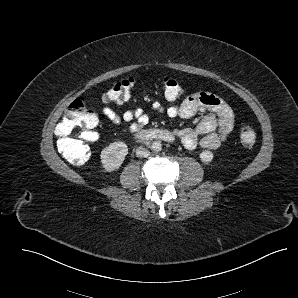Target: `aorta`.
Instances as JSON below:
<instances>
[{
	"instance_id": "obj_1",
	"label": "aorta",
	"mask_w": 298,
	"mask_h": 298,
	"mask_svg": "<svg viewBox=\"0 0 298 298\" xmlns=\"http://www.w3.org/2000/svg\"><path fill=\"white\" fill-rule=\"evenodd\" d=\"M151 150L155 153L160 152L162 150V144L160 142H153Z\"/></svg>"
}]
</instances>
